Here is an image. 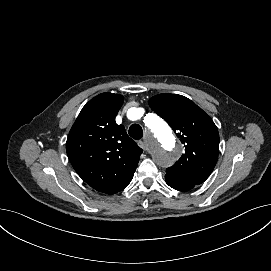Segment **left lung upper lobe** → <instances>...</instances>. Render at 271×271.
<instances>
[{"label": "left lung upper lobe", "mask_w": 271, "mask_h": 271, "mask_svg": "<svg viewBox=\"0 0 271 271\" xmlns=\"http://www.w3.org/2000/svg\"><path fill=\"white\" fill-rule=\"evenodd\" d=\"M149 106L176 132L185 146L166 175L196 185L212 173L219 154V133L213 120L190 99L177 94H159Z\"/></svg>", "instance_id": "obj_1"}]
</instances>
